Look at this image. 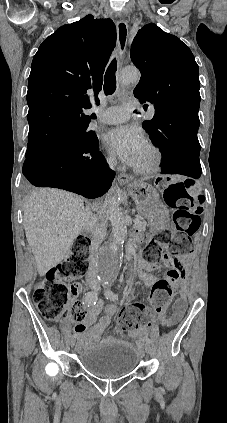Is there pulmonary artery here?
Instances as JSON below:
<instances>
[{
    "label": "pulmonary artery",
    "instance_id": "1",
    "mask_svg": "<svg viewBox=\"0 0 227 423\" xmlns=\"http://www.w3.org/2000/svg\"><path fill=\"white\" fill-rule=\"evenodd\" d=\"M132 107V103L127 102L121 106H113L107 109H98L96 110V114L101 123L107 125H118L129 120ZM153 114L154 109H151L150 112L144 111L141 116L144 120H149Z\"/></svg>",
    "mask_w": 227,
    "mask_h": 423
}]
</instances>
